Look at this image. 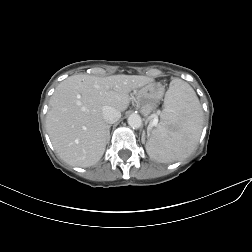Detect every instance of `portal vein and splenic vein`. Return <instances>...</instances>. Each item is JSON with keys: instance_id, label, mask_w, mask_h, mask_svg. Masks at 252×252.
<instances>
[{"instance_id": "portal-vein-and-splenic-vein-1", "label": "portal vein and splenic vein", "mask_w": 252, "mask_h": 252, "mask_svg": "<svg viewBox=\"0 0 252 252\" xmlns=\"http://www.w3.org/2000/svg\"><path fill=\"white\" fill-rule=\"evenodd\" d=\"M157 125H158V116L153 115L152 120L150 121V124H149V129H151L152 127H156Z\"/></svg>"}]
</instances>
